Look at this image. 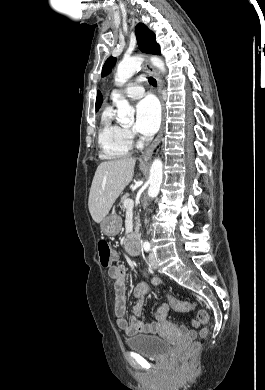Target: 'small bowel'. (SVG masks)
Wrapping results in <instances>:
<instances>
[{"label": "small bowel", "mask_w": 265, "mask_h": 390, "mask_svg": "<svg viewBox=\"0 0 265 390\" xmlns=\"http://www.w3.org/2000/svg\"><path fill=\"white\" fill-rule=\"evenodd\" d=\"M114 257L117 258V253H114ZM126 274L127 268L125 265L117 264L108 269V275L114 280L115 289V314L116 324L127 335H133L137 333H156L160 327L166 322V318L169 312V304L163 303L157 311L154 313V321L151 323H145L140 320L143 314L145 297L148 293V288L145 283H140L133 289V297L137 300L133 307L132 317L128 321L125 318L126 312ZM152 284L161 286L164 282L160 278H153ZM198 323L194 322L193 326L196 327ZM177 331L186 336L187 338H195V329H189L185 326L176 328Z\"/></svg>", "instance_id": "1"}]
</instances>
